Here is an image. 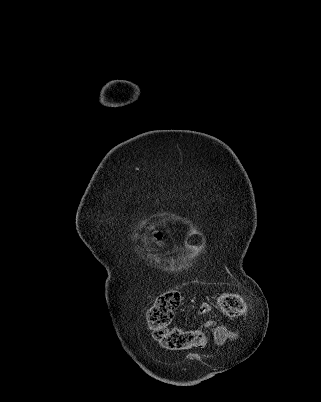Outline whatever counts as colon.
<instances>
[{
  "mask_svg": "<svg viewBox=\"0 0 321 402\" xmlns=\"http://www.w3.org/2000/svg\"><path fill=\"white\" fill-rule=\"evenodd\" d=\"M180 304V293L177 290H168L158 296L147 309L146 322L153 339L163 348L171 351L205 347L207 336L204 332L197 329L171 327L175 311ZM217 305L223 313L233 318L243 317L247 310L244 298L237 293L219 294Z\"/></svg>",
  "mask_w": 321,
  "mask_h": 402,
  "instance_id": "obj_1",
  "label": "colon"
}]
</instances>
